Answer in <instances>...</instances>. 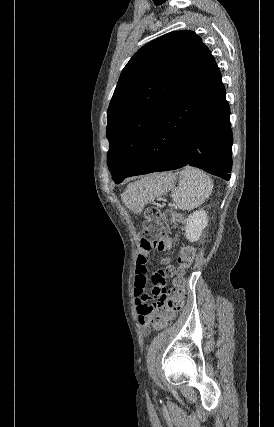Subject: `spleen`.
I'll list each match as a JSON object with an SVG mask.
<instances>
[{"label": "spleen", "instance_id": "spleen-1", "mask_svg": "<svg viewBox=\"0 0 274 427\" xmlns=\"http://www.w3.org/2000/svg\"><path fill=\"white\" fill-rule=\"evenodd\" d=\"M131 186H136L137 188H146L150 190L153 194L150 196H159L164 190L159 186V190H156V180H140V182H135ZM213 184L209 180L207 174L197 170V168H191V166H185L184 170L180 172V180L178 188H175L172 198L174 200L175 210H194L198 208L201 204H204L205 200L209 198L212 192ZM141 196V194H140Z\"/></svg>", "mask_w": 274, "mask_h": 427}]
</instances>
